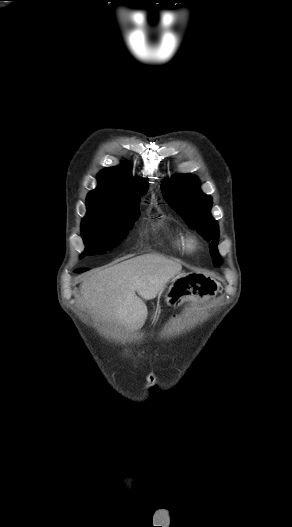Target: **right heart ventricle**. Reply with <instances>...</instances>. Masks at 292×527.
Listing matches in <instances>:
<instances>
[{"mask_svg":"<svg viewBox=\"0 0 292 527\" xmlns=\"http://www.w3.org/2000/svg\"><path fill=\"white\" fill-rule=\"evenodd\" d=\"M155 230L159 233L161 242L172 251L183 253L187 250L185 235L164 219L155 223Z\"/></svg>","mask_w":292,"mask_h":527,"instance_id":"obj_1","label":"right heart ventricle"}]
</instances>
